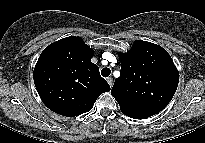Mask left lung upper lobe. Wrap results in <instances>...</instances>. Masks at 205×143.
Returning a JSON list of instances; mask_svg holds the SVG:
<instances>
[{"label":"left lung upper lobe","mask_w":205,"mask_h":143,"mask_svg":"<svg viewBox=\"0 0 205 143\" xmlns=\"http://www.w3.org/2000/svg\"><path fill=\"white\" fill-rule=\"evenodd\" d=\"M121 73L111 90L124 114L158 113L173 98L179 74L162 47L137 40L120 55Z\"/></svg>","instance_id":"obj_1"}]
</instances>
